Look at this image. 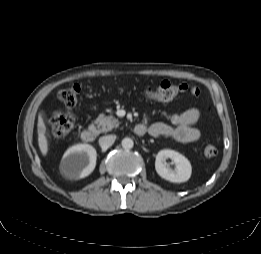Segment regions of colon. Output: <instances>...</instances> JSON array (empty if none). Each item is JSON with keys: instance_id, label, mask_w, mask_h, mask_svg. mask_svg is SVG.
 Here are the masks:
<instances>
[{"instance_id": "obj_1", "label": "colon", "mask_w": 261, "mask_h": 254, "mask_svg": "<svg viewBox=\"0 0 261 254\" xmlns=\"http://www.w3.org/2000/svg\"><path fill=\"white\" fill-rule=\"evenodd\" d=\"M81 92L82 86L75 83L60 90L58 96L64 105L73 107L77 104ZM187 92L195 98L200 97V89L198 87L191 86L187 83H173L168 80L162 81L156 88H145L143 90V95L148 100L167 101ZM206 110L210 111L209 108ZM49 123L54 135L65 136L73 129L75 116L70 111H59L52 115ZM217 153L218 150L214 145H207L204 148V154L206 157H214Z\"/></svg>"}]
</instances>
